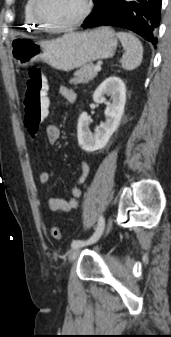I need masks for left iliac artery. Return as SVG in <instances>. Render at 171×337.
I'll list each match as a JSON object with an SVG mask.
<instances>
[{
    "label": "left iliac artery",
    "mask_w": 171,
    "mask_h": 337,
    "mask_svg": "<svg viewBox=\"0 0 171 337\" xmlns=\"http://www.w3.org/2000/svg\"><path fill=\"white\" fill-rule=\"evenodd\" d=\"M104 226H105V220H104L103 216H100L99 220H98L97 228H96L95 232L93 233V235L86 241H84V240H73L72 243H71V247L72 248H79V247L84 246V245L95 243L100 238V236L102 235L103 230H104Z\"/></svg>",
    "instance_id": "44dca946"
}]
</instances>
